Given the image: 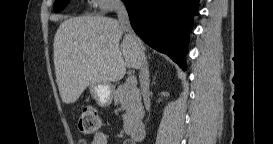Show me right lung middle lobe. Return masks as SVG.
<instances>
[{
	"label": "right lung middle lobe",
	"mask_w": 273,
	"mask_h": 144,
	"mask_svg": "<svg viewBox=\"0 0 273 144\" xmlns=\"http://www.w3.org/2000/svg\"><path fill=\"white\" fill-rule=\"evenodd\" d=\"M68 1L69 0H56L54 5V11L57 12L65 8Z\"/></svg>",
	"instance_id": "obj_1"
}]
</instances>
